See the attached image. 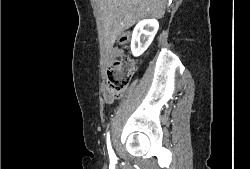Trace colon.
Masks as SVG:
<instances>
[{
  "label": "colon",
  "instance_id": "5ec220e1",
  "mask_svg": "<svg viewBox=\"0 0 250 169\" xmlns=\"http://www.w3.org/2000/svg\"><path fill=\"white\" fill-rule=\"evenodd\" d=\"M115 43L126 47L129 43L128 34H115ZM136 70V61L126 55L117 57L107 71L108 92L114 98L121 97Z\"/></svg>",
  "mask_w": 250,
  "mask_h": 169
}]
</instances>
